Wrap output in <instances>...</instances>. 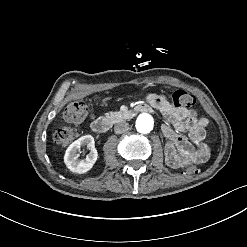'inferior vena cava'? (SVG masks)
Masks as SVG:
<instances>
[{"label": "inferior vena cava", "instance_id": "inferior-vena-cava-1", "mask_svg": "<svg viewBox=\"0 0 247 247\" xmlns=\"http://www.w3.org/2000/svg\"><path fill=\"white\" fill-rule=\"evenodd\" d=\"M128 129H129V124L125 121L117 122L114 125V131L116 134L125 133L126 131H128Z\"/></svg>", "mask_w": 247, "mask_h": 247}]
</instances>
